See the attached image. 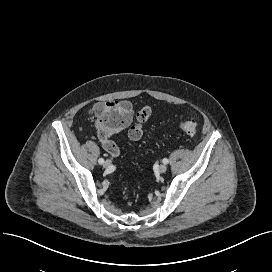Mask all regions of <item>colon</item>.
Segmentation results:
<instances>
[{
    "label": "colon",
    "instance_id": "5ec220e1",
    "mask_svg": "<svg viewBox=\"0 0 272 272\" xmlns=\"http://www.w3.org/2000/svg\"><path fill=\"white\" fill-rule=\"evenodd\" d=\"M146 114H139L137 122L132 125L128 131V135L133 139H140L143 134V123ZM130 116L122 112L120 109L106 105L98 110V119L96 128L99 138H104L110 133L118 132L129 122ZM180 128L190 137L197 134V124L194 121L186 120L180 123Z\"/></svg>",
    "mask_w": 272,
    "mask_h": 272
}]
</instances>
